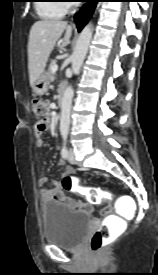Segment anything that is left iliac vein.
I'll return each mask as SVG.
<instances>
[{"mask_svg":"<svg viewBox=\"0 0 158 275\" xmlns=\"http://www.w3.org/2000/svg\"><path fill=\"white\" fill-rule=\"evenodd\" d=\"M68 161L72 164H75L76 163V160H75V155H74V150L72 148L69 149V152H68Z\"/></svg>","mask_w":158,"mask_h":275,"instance_id":"4c4485c4","label":"left iliac vein"}]
</instances>
